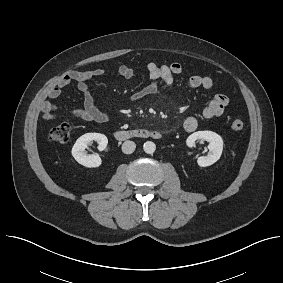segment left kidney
I'll return each mask as SVG.
<instances>
[{"label": "left kidney", "instance_id": "obj_1", "mask_svg": "<svg viewBox=\"0 0 283 283\" xmlns=\"http://www.w3.org/2000/svg\"><path fill=\"white\" fill-rule=\"evenodd\" d=\"M196 140H205L209 142V153L207 156H201L197 159V163L200 167H207L217 162L223 151V139L220 135L212 131H198L191 134L186 144L192 148L195 146Z\"/></svg>", "mask_w": 283, "mask_h": 283}]
</instances>
